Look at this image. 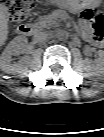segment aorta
<instances>
[{"label":"aorta","mask_w":104,"mask_h":137,"mask_svg":"<svg viewBox=\"0 0 104 137\" xmlns=\"http://www.w3.org/2000/svg\"><path fill=\"white\" fill-rule=\"evenodd\" d=\"M56 35H57V38H58V39H61V40H62V39H65V38H66V35H67V34H66V31H65V30H62V29H61V30H58V31H57V34H56Z\"/></svg>","instance_id":"762f6f07"}]
</instances>
